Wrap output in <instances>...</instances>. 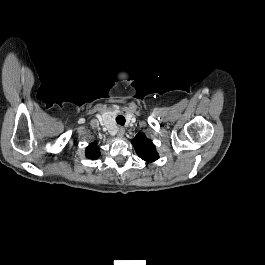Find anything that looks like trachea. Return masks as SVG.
Masks as SVG:
<instances>
[{
  "label": "trachea",
  "mask_w": 265,
  "mask_h": 265,
  "mask_svg": "<svg viewBox=\"0 0 265 265\" xmlns=\"http://www.w3.org/2000/svg\"><path fill=\"white\" fill-rule=\"evenodd\" d=\"M116 122H117L119 125L123 126V125L125 124V117L122 116V115L117 116V117H116Z\"/></svg>",
  "instance_id": "obj_1"
}]
</instances>
